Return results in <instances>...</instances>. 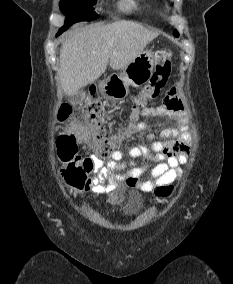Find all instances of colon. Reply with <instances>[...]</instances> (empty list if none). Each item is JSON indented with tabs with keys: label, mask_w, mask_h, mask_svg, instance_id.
Segmentation results:
<instances>
[{
	"label": "colon",
	"mask_w": 233,
	"mask_h": 284,
	"mask_svg": "<svg viewBox=\"0 0 233 284\" xmlns=\"http://www.w3.org/2000/svg\"><path fill=\"white\" fill-rule=\"evenodd\" d=\"M173 55L168 50H159L155 53V68L148 81L135 99V105L138 108L146 107L151 101L155 100L165 87L172 63ZM72 112L68 104H62L59 109V118L66 119ZM101 102L98 99H92L83 109L89 133L88 140L92 147L102 155H110L115 151L121 136L108 137L100 116ZM136 115H134V118ZM58 156L63 164L61 175L71 188L81 189L93 169V162L90 158L82 157L78 153L76 137L67 132H62L57 138ZM174 192V186L169 184L159 186L155 194L161 198L170 197Z\"/></svg>",
	"instance_id": "colon-1"
}]
</instances>
